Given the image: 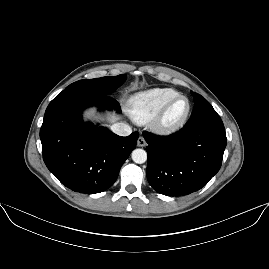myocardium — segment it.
Returning a JSON list of instances; mask_svg holds the SVG:
<instances>
[{
    "mask_svg": "<svg viewBox=\"0 0 269 269\" xmlns=\"http://www.w3.org/2000/svg\"><path fill=\"white\" fill-rule=\"evenodd\" d=\"M179 99H185L187 101V108L185 110V113L183 116L176 122L170 123L168 121V114L172 108V106L175 104L176 101ZM191 105L190 101L185 96H176L173 99H171L165 107L161 110V112L153 119V127L160 133L163 134H173L178 132L187 122L189 113H190Z\"/></svg>",
    "mask_w": 269,
    "mask_h": 269,
    "instance_id": "f54148a6",
    "label": "myocardium"
}]
</instances>
